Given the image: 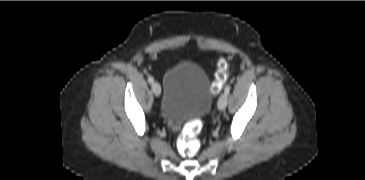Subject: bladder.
<instances>
[{
    "label": "bladder",
    "instance_id": "obj_1",
    "mask_svg": "<svg viewBox=\"0 0 365 180\" xmlns=\"http://www.w3.org/2000/svg\"><path fill=\"white\" fill-rule=\"evenodd\" d=\"M213 97L210 79L203 68L192 61L179 62L164 76L161 117L175 124L203 117L210 111Z\"/></svg>",
    "mask_w": 365,
    "mask_h": 180
}]
</instances>
